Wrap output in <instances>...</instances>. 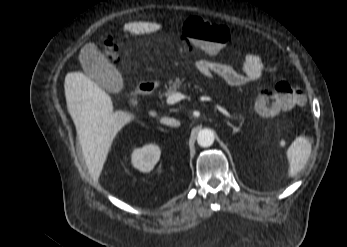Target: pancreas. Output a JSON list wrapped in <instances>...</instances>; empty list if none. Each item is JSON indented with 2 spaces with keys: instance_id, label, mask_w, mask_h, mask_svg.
<instances>
[{
  "instance_id": "pancreas-1",
  "label": "pancreas",
  "mask_w": 347,
  "mask_h": 247,
  "mask_svg": "<svg viewBox=\"0 0 347 247\" xmlns=\"http://www.w3.org/2000/svg\"><path fill=\"white\" fill-rule=\"evenodd\" d=\"M184 79H180V78H176V79H169L165 85L166 88V92L163 94L165 96H169L173 93H176L178 90L180 89H186V85L183 84ZM188 86H190V84L188 83ZM195 88H198V86H195ZM239 119L241 121H244V118L239 115Z\"/></svg>"
}]
</instances>
